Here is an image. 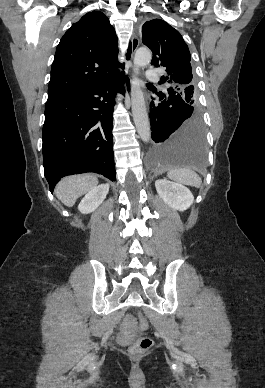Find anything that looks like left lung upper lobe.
<instances>
[{
	"instance_id": "obj_1",
	"label": "left lung upper lobe",
	"mask_w": 265,
	"mask_h": 388,
	"mask_svg": "<svg viewBox=\"0 0 265 388\" xmlns=\"http://www.w3.org/2000/svg\"><path fill=\"white\" fill-rule=\"evenodd\" d=\"M142 42L153 52L151 64L166 68L162 82L170 84L171 94L179 95L186 104L198 108V96L194 87L190 64V52L181 34L161 19L145 22Z\"/></svg>"
}]
</instances>
